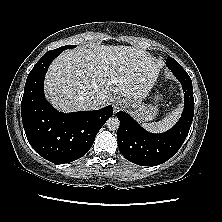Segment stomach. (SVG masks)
I'll return each instance as SVG.
<instances>
[{
	"mask_svg": "<svg viewBox=\"0 0 222 222\" xmlns=\"http://www.w3.org/2000/svg\"><path fill=\"white\" fill-rule=\"evenodd\" d=\"M159 100H161V95L157 94L154 96V102L151 104H145L144 102L137 100H130V112L139 122L151 121L158 114L159 109L157 103L159 102Z\"/></svg>",
	"mask_w": 222,
	"mask_h": 222,
	"instance_id": "1",
	"label": "stomach"
}]
</instances>
